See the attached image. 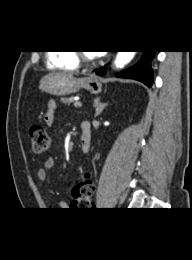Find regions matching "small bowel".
Instances as JSON below:
<instances>
[{
  "instance_id": "small-bowel-1",
  "label": "small bowel",
  "mask_w": 192,
  "mask_h": 260,
  "mask_svg": "<svg viewBox=\"0 0 192 260\" xmlns=\"http://www.w3.org/2000/svg\"><path fill=\"white\" fill-rule=\"evenodd\" d=\"M57 108V105L54 101H50L49 104H48V111L47 113L45 114V123L48 125V126H51L52 123H53V120H54V113H55V110ZM56 165V161L53 157H49L46 159L45 163H44V168L42 169H39L37 171V178L40 182H43L45 181L46 177H47V170H51L55 167ZM92 205V203H80V202H77V201H74L72 202L71 206L73 208H88ZM56 208L58 210H63L65 208H67V203L65 201H58L56 203Z\"/></svg>"
}]
</instances>
